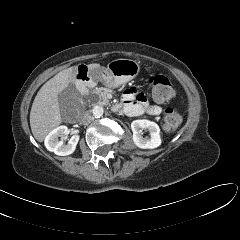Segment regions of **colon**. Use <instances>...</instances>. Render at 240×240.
<instances>
[{
  "label": "colon",
  "mask_w": 240,
  "mask_h": 240,
  "mask_svg": "<svg viewBox=\"0 0 240 240\" xmlns=\"http://www.w3.org/2000/svg\"><path fill=\"white\" fill-rule=\"evenodd\" d=\"M152 97L157 102H168L176 96V88L171 81L163 75H153L148 80ZM182 121L181 115L172 108L165 110L163 128L166 131L175 130Z\"/></svg>",
  "instance_id": "5ec220e1"
}]
</instances>
